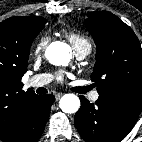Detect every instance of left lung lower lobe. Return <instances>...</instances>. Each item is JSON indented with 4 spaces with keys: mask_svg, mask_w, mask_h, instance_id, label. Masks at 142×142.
<instances>
[{
    "mask_svg": "<svg viewBox=\"0 0 142 142\" xmlns=\"http://www.w3.org/2000/svg\"><path fill=\"white\" fill-rule=\"evenodd\" d=\"M81 107L74 122L86 142H120L134 127L138 116L98 98L95 104L80 96Z\"/></svg>",
    "mask_w": 142,
    "mask_h": 142,
    "instance_id": "0a47b994",
    "label": "left lung lower lobe"
}]
</instances>
